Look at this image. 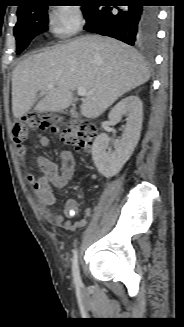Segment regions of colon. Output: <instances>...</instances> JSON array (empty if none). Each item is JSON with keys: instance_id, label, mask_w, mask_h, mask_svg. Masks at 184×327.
I'll return each mask as SVG.
<instances>
[{"instance_id": "5ec220e1", "label": "colon", "mask_w": 184, "mask_h": 327, "mask_svg": "<svg viewBox=\"0 0 184 327\" xmlns=\"http://www.w3.org/2000/svg\"><path fill=\"white\" fill-rule=\"evenodd\" d=\"M62 119L53 118L46 113H28L12 125V134L19 156L24 157L27 153L26 141L37 129H50L59 135L65 144L77 149L89 150L92 140L96 136V126L88 120H70L61 129Z\"/></svg>"}]
</instances>
